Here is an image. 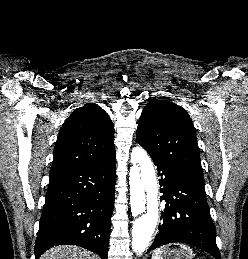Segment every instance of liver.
Segmentation results:
<instances>
[{"label": "liver", "mask_w": 248, "mask_h": 259, "mask_svg": "<svg viewBox=\"0 0 248 259\" xmlns=\"http://www.w3.org/2000/svg\"><path fill=\"white\" fill-rule=\"evenodd\" d=\"M40 259H98V257L83 248L73 245H62L49 249Z\"/></svg>", "instance_id": "1"}]
</instances>
